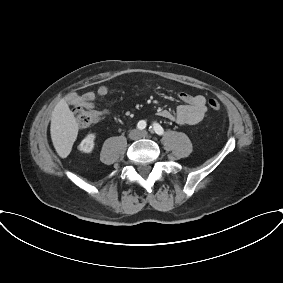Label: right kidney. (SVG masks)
Instances as JSON below:
<instances>
[{
  "mask_svg": "<svg viewBox=\"0 0 283 283\" xmlns=\"http://www.w3.org/2000/svg\"><path fill=\"white\" fill-rule=\"evenodd\" d=\"M96 136L94 133L88 134L80 143L79 150L84 153H91L94 148V140Z\"/></svg>",
  "mask_w": 283,
  "mask_h": 283,
  "instance_id": "1",
  "label": "right kidney"
}]
</instances>
